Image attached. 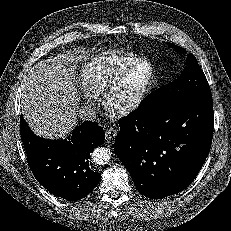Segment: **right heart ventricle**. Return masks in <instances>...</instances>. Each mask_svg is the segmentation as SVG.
Segmentation results:
<instances>
[{
    "label": "right heart ventricle",
    "mask_w": 231,
    "mask_h": 231,
    "mask_svg": "<svg viewBox=\"0 0 231 231\" xmlns=\"http://www.w3.org/2000/svg\"><path fill=\"white\" fill-rule=\"evenodd\" d=\"M141 58L130 53H103L88 59L79 70L85 93L99 97L118 77Z\"/></svg>",
    "instance_id": "obj_1"
}]
</instances>
